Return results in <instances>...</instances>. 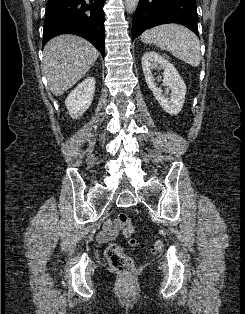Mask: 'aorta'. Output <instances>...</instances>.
<instances>
[{
	"mask_svg": "<svg viewBox=\"0 0 245 314\" xmlns=\"http://www.w3.org/2000/svg\"><path fill=\"white\" fill-rule=\"evenodd\" d=\"M139 0H125V7L128 13H133L138 5Z\"/></svg>",
	"mask_w": 245,
	"mask_h": 314,
	"instance_id": "762f6f07",
	"label": "aorta"
}]
</instances>
